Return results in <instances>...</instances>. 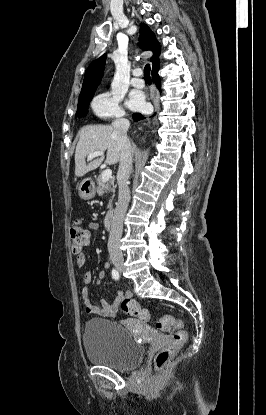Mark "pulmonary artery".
<instances>
[{
    "label": "pulmonary artery",
    "mask_w": 266,
    "mask_h": 415,
    "mask_svg": "<svg viewBox=\"0 0 266 415\" xmlns=\"http://www.w3.org/2000/svg\"><path fill=\"white\" fill-rule=\"evenodd\" d=\"M142 72L140 69H135L133 71V77L131 79V84L137 88H143L145 83L144 80L140 78Z\"/></svg>",
    "instance_id": "pulmonary-artery-1"
}]
</instances>
